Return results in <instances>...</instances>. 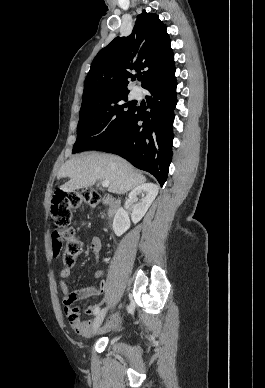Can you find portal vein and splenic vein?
Segmentation results:
<instances>
[{
	"instance_id": "obj_1",
	"label": "portal vein and splenic vein",
	"mask_w": 265,
	"mask_h": 388,
	"mask_svg": "<svg viewBox=\"0 0 265 388\" xmlns=\"http://www.w3.org/2000/svg\"><path fill=\"white\" fill-rule=\"evenodd\" d=\"M110 182H108V180H104V182H102V186L103 188H108Z\"/></svg>"
}]
</instances>
